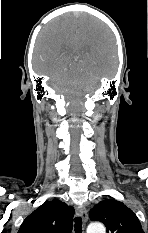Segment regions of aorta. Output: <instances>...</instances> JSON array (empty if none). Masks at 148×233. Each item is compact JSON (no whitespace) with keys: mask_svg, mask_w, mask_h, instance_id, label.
<instances>
[{"mask_svg":"<svg viewBox=\"0 0 148 233\" xmlns=\"http://www.w3.org/2000/svg\"><path fill=\"white\" fill-rule=\"evenodd\" d=\"M87 233H106V229L102 223L94 222L87 227Z\"/></svg>","mask_w":148,"mask_h":233,"instance_id":"obj_1","label":"aorta"}]
</instances>
